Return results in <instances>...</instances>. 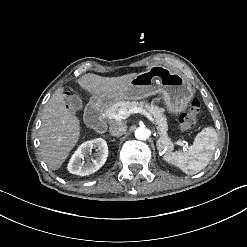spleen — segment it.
Here are the masks:
<instances>
[{"mask_svg":"<svg viewBox=\"0 0 247 247\" xmlns=\"http://www.w3.org/2000/svg\"><path fill=\"white\" fill-rule=\"evenodd\" d=\"M217 140L215 129L206 127L197 134L192 146L183 151L167 153L164 160L188 175L197 174L209 164Z\"/></svg>","mask_w":247,"mask_h":247,"instance_id":"obj_1","label":"spleen"}]
</instances>
